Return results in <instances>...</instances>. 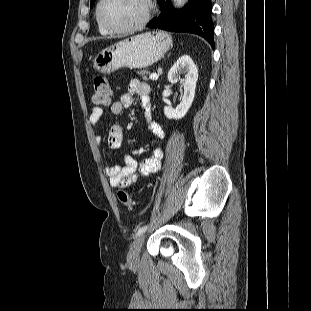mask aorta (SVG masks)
Returning <instances> with one entry per match:
<instances>
[{"instance_id": "762f6f07", "label": "aorta", "mask_w": 311, "mask_h": 311, "mask_svg": "<svg viewBox=\"0 0 311 311\" xmlns=\"http://www.w3.org/2000/svg\"><path fill=\"white\" fill-rule=\"evenodd\" d=\"M187 0H173L175 7H182Z\"/></svg>"}]
</instances>
